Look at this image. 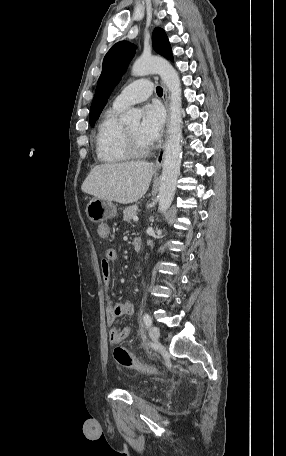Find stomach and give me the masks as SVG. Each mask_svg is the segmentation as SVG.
<instances>
[{
    "mask_svg": "<svg viewBox=\"0 0 286 456\" xmlns=\"http://www.w3.org/2000/svg\"><path fill=\"white\" fill-rule=\"evenodd\" d=\"M86 214L90 221L100 223L115 217L117 207L112 201L93 198L87 204Z\"/></svg>",
    "mask_w": 286,
    "mask_h": 456,
    "instance_id": "1",
    "label": "stomach"
}]
</instances>
